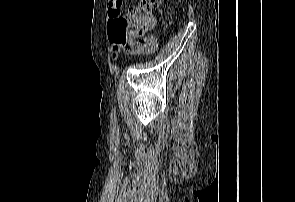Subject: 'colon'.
Returning a JSON list of instances; mask_svg holds the SVG:
<instances>
[{"label":"colon","instance_id":"colon-1","mask_svg":"<svg viewBox=\"0 0 295 202\" xmlns=\"http://www.w3.org/2000/svg\"><path fill=\"white\" fill-rule=\"evenodd\" d=\"M161 0H143L137 7H131L112 22L110 39L114 46L133 45L139 52H146L152 48L150 43L143 40L148 27L149 18L144 15L151 8L156 7Z\"/></svg>","mask_w":295,"mask_h":202}]
</instances>
